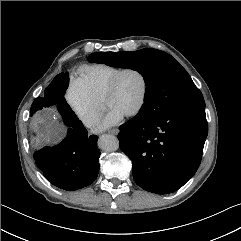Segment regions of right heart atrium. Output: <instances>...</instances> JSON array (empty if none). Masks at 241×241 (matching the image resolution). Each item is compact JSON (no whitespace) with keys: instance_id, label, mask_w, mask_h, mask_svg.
<instances>
[{"instance_id":"obj_1","label":"right heart atrium","mask_w":241,"mask_h":241,"mask_svg":"<svg viewBox=\"0 0 241 241\" xmlns=\"http://www.w3.org/2000/svg\"><path fill=\"white\" fill-rule=\"evenodd\" d=\"M65 100L75 117L86 127L91 128L97 124L102 113V107L86 89L79 79L70 81Z\"/></svg>"}]
</instances>
